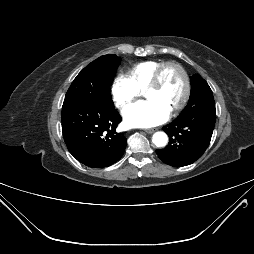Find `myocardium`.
<instances>
[{
  "label": "myocardium",
  "mask_w": 254,
  "mask_h": 254,
  "mask_svg": "<svg viewBox=\"0 0 254 254\" xmlns=\"http://www.w3.org/2000/svg\"><path fill=\"white\" fill-rule=\"evenodd\" d=\"M168 67H173V68L177 69L181 73L182 78H183V83H184L182 97H181L180 101L177 103V105L170 112L173 115V114H176L178 111H180L185 106V104L187 103V101L189 99L190 90H191L189 76L181 64L174 62V61H166V62H163L162 64H160L158 66V68L155 70L152 80L149 83L148 87L146 88V92L149 90L155 89L160 85L162 74L165 71V69Z\"/></svg>",
  "instance_id": "myocardium-1"
}]
</instances>
